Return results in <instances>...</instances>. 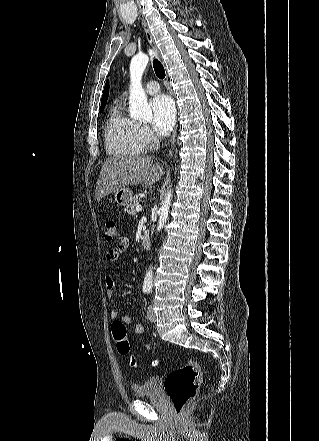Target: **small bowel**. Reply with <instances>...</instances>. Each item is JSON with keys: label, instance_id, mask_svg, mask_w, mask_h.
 I'll list each match as a JSON object with an SVG mask.
<instances>
[{"label": "small bowel", "instance_id": "small-bowel-1", "mask_svg": "<svg viewBox=\"0 0 319 441\" xmlns=\"http://www.w3.org/2000/svg\"><path fill=\"white\" fill-rule=\"evenodd\" d=\"M129 246V242L126 238H121L117 243L116 247L113 249H110L107 252V259L110 262H115L119 256L124 253ZM105 286H106V295L108 298H112L114 296V288H115V281L111 276H107L105 278ZM110 317L112 320H116L118 318V312L115 309H112L110 311ZM121 320L125 323H131L132 317L130 315H124L122 316ZM133 332L137 335H141L144 333V327L140 323H135L133 326Z\"/></svg>", "mask_w": 319, "mask_h": 441}]
</instances>
